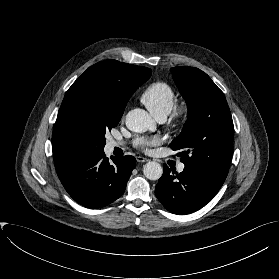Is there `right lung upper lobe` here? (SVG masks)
<instances>
[{
	"mask_svg": "<svg viewBox=\"0 0 279 279\" xmlns=\"http://www.w3.org/2000/svg\"><path fill=\"white\" fill-rule=\"evenodd\" d=\"M150 76L149 68L106 60L89 67L71 88L80 87L97 109L122 116L130 96ZM52 149L55 165L67 160Z\"/></svg>",
	"mask_w": 279,
	"mask_h": 279,
	"instance_id": "right-lung-upper-lobe-1",
	"label": "right lung upper lobe"
}]
</instances>
